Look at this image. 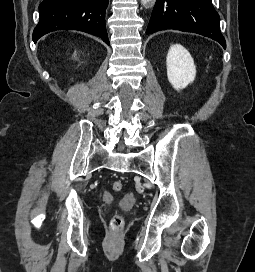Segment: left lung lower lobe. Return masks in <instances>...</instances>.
<instances>
[{"mask_svg":"<svg viewBox=\"0 0 255 272\" xmlns=\"http://www.w3.org/2000/svg\"><path fill=\"white\" fill-rule=\"evenodd\" d=\"M166 29L197 33L226 48L220 17L211 0H157L146 34Z\"/></svg>","mask_w":255,"mask_h":272,"instance_id":"obj_1","label":"left lung lower lobe"}]
</instances>
